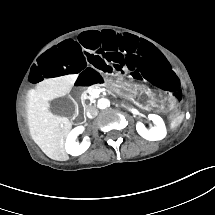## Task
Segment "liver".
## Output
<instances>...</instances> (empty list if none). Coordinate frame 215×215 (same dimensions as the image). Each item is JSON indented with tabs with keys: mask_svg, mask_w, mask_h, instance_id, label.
<instances>
[{
	"mask_svg": "<svg viewBox=\"0 0 215 215\" xmlns=\"http://www.w3.org/2000/svg\"><path fill=\"white\" fill-rule=\"evenodd\" d=\"M77 74L45 79L29 90L27 123L30 136L38 147L51 159L66 156L64 144L72 124L67 117L55 116L48 110V100L69 93Z\"/></svg>",
	"mask_w": 215,
	"mask_h": 215,
	"instance_id": "obj_1",
	"label": "liver"
}]
</instances>
